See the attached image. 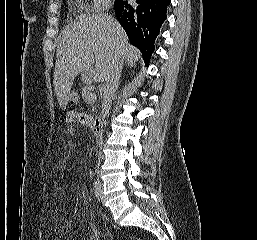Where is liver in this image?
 Returning a JSON list of instances; mask_svg holds the SVG:
<instances>
[{
	"label": "liver",
	"instance_id": "6515ba94",
	"mask_svg": "<svg viewBox=\"0 0 257 240\" xmlns=\"http://www.w3.org/2000/svg\"><path fill=\"white\" fill-rule=\"evenodd\" d=\"M116 43L122 61L133 66L140 52L129 43L123 28L112 16H81L77 23L66 27L57 46L53 81L61 107L67 106L73 81L79 73L83 80H87L88 74L98 82L107 80Z\"/></svg>",
	"mask_w": 257,
	"mask_h": 240
}]
</instances>
